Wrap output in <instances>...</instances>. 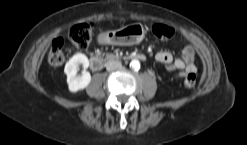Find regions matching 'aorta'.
<instances>
[{
  "instance_id": "obj_1",
  "label": "aorta",
  "mask_w": 247,
  "mask_h": 145,
  "mask_svg": "<svg viewBox=\"0 0 247 145\" xmlns=\"http://www.w3.org/2000/svg\"><path fill=\"white\" fill-rule=\"evenodd\" d=\"M130 67L133 69V70H139L140 69V62L136 59L132 60L130 62Z\"/></svg>"
}]
</instances>
